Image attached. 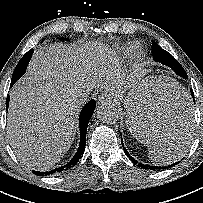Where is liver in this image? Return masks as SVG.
Masks as SVG:
<instances>
[{"label":"liver","instance_id":"obj_1","mask_svg":"<svg viewBox=\"0 0 203 203\" xmlns=\"http://www.w3.org/2000/svg\"><path fill=\"white\" fill-rule=\"evenodd\" d=\"M101 50L102 46L93 44L77 47L59 43L34 52L26 75L10 92L7 119L10 145L27 167L47 171L69 150L83 103L77 100L79 93L93 88L106 89L111 97L122 93L116 65L100 57ZM132 117L129 115V120ZM180 123L178 113L166 112L154 123L155 132L152 127L142 131L160 144L180 133ZM186 123L189 131L191 122Z\"/></svg>","mask_w":203,"mask_h":203}]
</instances>
